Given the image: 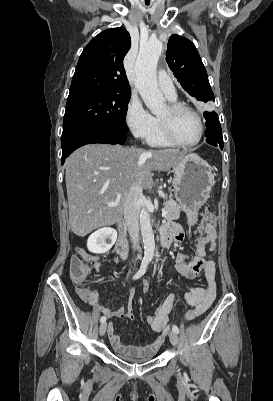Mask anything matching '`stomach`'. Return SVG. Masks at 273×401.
Listing matches in <instances>:
<instances>
[{
	"label": "stomach",
	"mask_w": 273,
	"mask_h": 401,
	"mask_svg": "<svg viewBox=\"0 0 273 401\" xmlns=\"http://www.w3.org/2000/svg\"><path fill=\"white\" fill-rule=\"evenodd\" d=\"M174 192L186 213L188 225H196L198 211L206 203L214 184L212 166L200 156H185L175 166Z\"/></svg>",
	"instance_id": "stomach-1"
}]
</instances>
